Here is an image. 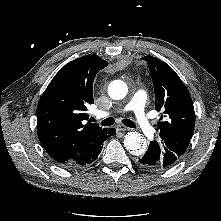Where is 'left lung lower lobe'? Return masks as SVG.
<instances>
[{"instance_id":"0a47b994","label":"left lung lower lobe","mask_w":221,"mask_h":221,"mask_svg":"<svg viewBox=\"0 0 221 221\" xmlns=\"http://www.w3.org/2000/svg\"><path fill=\"white\" fill-rule=\"evenodd\" d=\"M137 163L144 169L155 171L165 170L173 165L157 142L149 144L147 152L138 158Z\"/></svg>"}]
</instances>
